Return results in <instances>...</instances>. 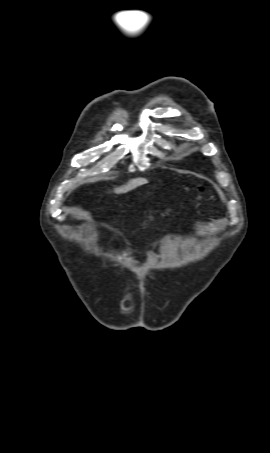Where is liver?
Returning a JSON list of instances; mask_svg holds the SVG:
<instances>
[{"mask_svg": "<svg viewBox=\"0 0 270 453\" xmlns=\"http://www.w3.org/2000/svg\"><path fill=\"white\" fill-rule=\"evenodd\" d=\"M146 183H148V180H146L145 178L131 179L125 185L114 188L113 192L116 194L126 193Z\"/></svg>", "mask_w": 270, "mask_h": 453, "instance_id": "obj_1", "label": "liver"}]
</instances>
